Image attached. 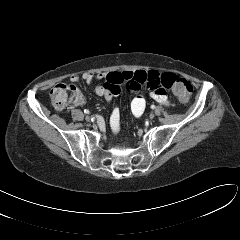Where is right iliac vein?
Listing matches in <instances>:
<instances>
[{"mask_svg":"<svg viewBox=\"0 0 240 240\" xmlns=\"http://www.w3.org/2000/svg\"><path fill=\"white\" fill-rule=\"evenodd\" d=\"M85 120L88 121V122H90V121H91V117L87 115V116L85 117Z\"/></svg>","mask_w":240,"mask_h":240,"instance_id":"1","label":"right iliac vein"}]
</instances>
